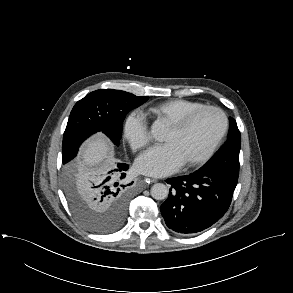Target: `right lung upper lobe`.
Listing matches in <instances>:
<instances>
[{
  "mask_svg": "<svg viewBox=\"0 0 293 293\" xmlns=\"http://www.w3.org/2000/svg\"><path fill=\"white\" fill-rule=\"evenodd\" d=\"M68 166L72 169H75V170L78 169L75 165H72V164H69Z\"/></svg>",
  "mask_w": 293,
  "mask_h": 293,
  "instance_id": "1",
  "label": "right lung upper lobe"
}]
</instances>
